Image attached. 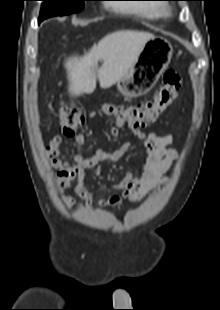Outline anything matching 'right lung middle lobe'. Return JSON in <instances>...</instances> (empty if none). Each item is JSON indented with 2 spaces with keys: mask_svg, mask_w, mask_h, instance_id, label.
Wrapping results in <instances>:
<instances>
[{
  "mask_svg": "<svg viewBox=\"0 0 220 310\" xmlns=\"http://www.w3.org/2000/svg\"><path fill=\"white\" fill-rule=\"evenodd\" d=\"M39 19L44 20L52 16L68 15L81 11L85 1L89 0H42Z\"/></svg>",
  "mask_w": 220,
  "mask_h": 310,
  "instance_id": "dd1d6c3e",
  "label": "right lung middle lobe"
}]
</instances>
